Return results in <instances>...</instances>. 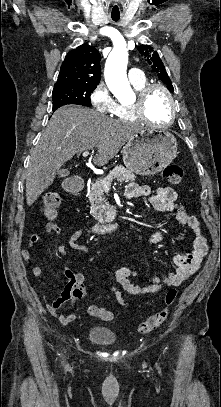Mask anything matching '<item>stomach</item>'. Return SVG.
Segmentation results:
<instances>
[{
	"label": "stomach",
	"instance_id": "1",
	"mask_svg": "<svg viewBox=\"0 0 221 407\" xmlns=\"http://www.w3.org/2000/svg\"><path fill=\"white\" fill-rule=\"evenodd\" d=\"M177 154V140L167 131L142 129L122 150L124 165L139 175H154L169 165Z\"/></svg>",
	"mask_w": 221,
	"mask_h": 407
}]
</instances>
